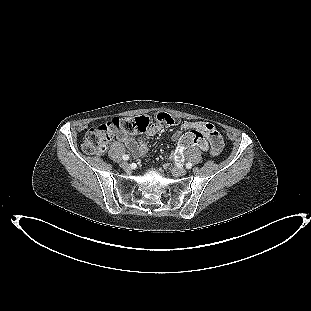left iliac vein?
Masks as SVG:
<instances>
[{
    "mask_svg": "<svg viewBox=\"0 0 311 311\" xmlns=\"http://www.w3.org/2000/svg\"><path fill=\"white\" fill-rule=\"evenodd\" d=\"M172 173L176 176H183L187 173L185 168H173Z\"/></svg>",
    "mask_w": 311,
    "mask_h": 311,
    "instance_id": "1",
    "label": "left iliac vein"
}]
</instances>
